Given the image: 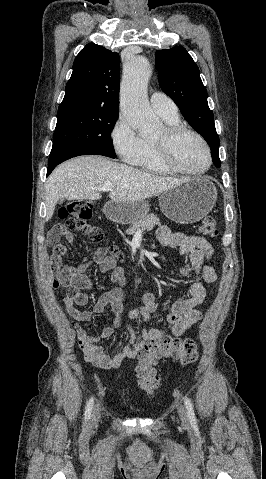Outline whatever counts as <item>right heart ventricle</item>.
Listing matches in <instances>:
<instances>
[{
	"label": "right heart ventricle",
	"instance_id": "1",
	"mask_svg": "<svg viewBox=\"0 0 266 479\" xmlns=\"http://www.w3.org/2000/svg\"><path fill=\"white\" fill-rule=\"evenodd\" d=\"M161 118L166 122L167 125H177L180 124L179 117H164ZM144 150L139 159L134 163L143 171L167 175L171 174L170 171L160 160L156 145L153 138H143Z\"/></svg>",
	"mask_w": 266,
	"mask_h": 479
}]
</instances>
